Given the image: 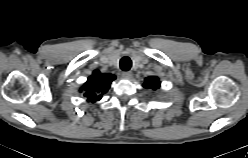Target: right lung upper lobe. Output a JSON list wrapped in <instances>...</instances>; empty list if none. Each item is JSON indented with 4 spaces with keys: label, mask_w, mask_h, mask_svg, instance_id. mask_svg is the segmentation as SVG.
<instances>
[{
    "label": "right lung upper lobe",
    "mask_w": 248,
    "mask_h": 158,
    "mask_svg": "<svg viewBox=\"0 0 248 158\" xmlns=\"http://www.w3.org/2000/svg\"><path fill=\"white\" fill-rule=\"evenodd\" d=\"M115 79L116 77L113 74L94 71L81 90L85 91L84 96L87 97V101L94 103L102 98V95L108 91L111 82Z\"/></svg>",
    "instance_id": "obj_1"
}]
</instances>
